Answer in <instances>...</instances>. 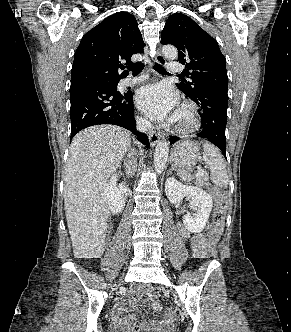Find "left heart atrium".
Instances as JSON below:
<instances>
[{"mask_svg": "<svg viewBox=\"0 0 291 332\" xmlns=\"http://www.w3.org/2000/svg\"><path fill=\"white\" fill-rule=\"evenodd\" d=\"M138 107L154 120L174 121L178 97L176 93L166 84L158 83L146 86L139 90L136 96Z\"/></svg>", "mask_w": 291, "mask_h": 332, "instance_id": "left-heart-atrium-1", "label": "left heart atrium"}]
</instances>
